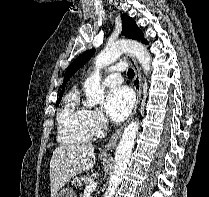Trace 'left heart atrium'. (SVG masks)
Masks as SVG:
<instances>
[{"instance_id": "39dd6f15", "label": "left heart atrium", "mask_w": 209, "mask_h": 197, "mask_svg": "<svg viewBox=\"0 0 209 197\" xmlns=\"http://www.w3.org/2000/svg\"><path fill=\"white\" fill-rule=\"evenodd\" d=\"M133 102V93L128 87H116L108 92L104 109L113 121L119 122L128 116Z\"/></svg>"}]
</instances>
